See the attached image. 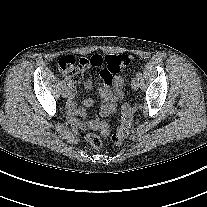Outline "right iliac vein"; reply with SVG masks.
<instances>
[{
    "mask_svg": "<svg viewBox=\"0 0 207 207\" xmlns=\"http://www.w3.org/2000/svg\"><path fill=\"white\" fill-rule=\"evenodd\" d=\"M69 95H70V90L68 88H66V87H63V89H62V96L64 98H67Z\"/></svg>",
    "mask_w": 207,
    "mask_h": 207,
    "instance_id": "63e3f726",
    "label": "right iliac vein"
}]
</instances>
